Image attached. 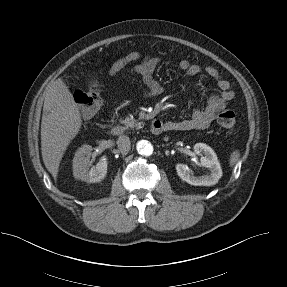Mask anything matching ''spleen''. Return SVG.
Here are the masks:
<instances>
[{"label": "spleen", "instance_id": "3e777b00", "mask_svg": "<svg viewBox=\"0 0 287 287\" xmlns=\"http://www.w3.org/2000/svg\"><path fill=\"white\" fill-rule=\"evenodd\" d=\"M240 153L239 151H233L230 156V166L233 167L239 160Z\"/></svg>", "mask_w": 287, "mask_h": 287}]
</instances>
